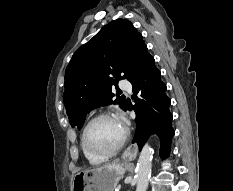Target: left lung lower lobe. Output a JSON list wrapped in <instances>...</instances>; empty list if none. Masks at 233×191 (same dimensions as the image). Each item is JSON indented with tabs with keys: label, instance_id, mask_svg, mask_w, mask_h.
I'll use <instances>...</instances> for the list:
<instances>
[{
	"label": "left lung lower lobe",
	"instance_id": "0a47b994",
	"mask_svg": "<svg viewBox=\"0 0 233 191\" xmlns=\"http://www.w3.org/2000/svg\"><path fill=\"white\" fill-rule=\"evenodd\" d=\"M160 76L154 58L149 54L128 81L134 94L141 96L140 99L135 98L133 107L138 121L133 143L136 142L141 150L147 137L156 133L160 138V157L165 159L170 151L174 130L171 127L170 99L165 95L166 85Z\"/></svg>",
	"mask_w": 233,
	"mask_h": 191
}]
</instances>
